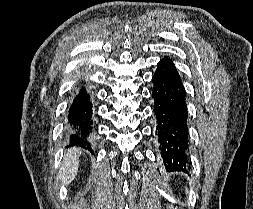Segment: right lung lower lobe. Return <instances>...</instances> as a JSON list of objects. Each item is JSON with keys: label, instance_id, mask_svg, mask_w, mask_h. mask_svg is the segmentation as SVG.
Returning <instances> with one entry per match:
<instances>
[{"label": "right lung lower lobe", "instance_id": "1", "mask_svg": "<svg viewBox=\"0 0 253 209\" xmlns=\"http://www.w3.org/2000/svg\"><path fill=\"white\" fill-rule=\"evenodd\" d=\"M84 84L83 80L79 83L68 110V139L72 144L90 150L93 129L92 102Z\"/></svg>", "mask_w": 253, "mask_h": 209}]
</instances>
